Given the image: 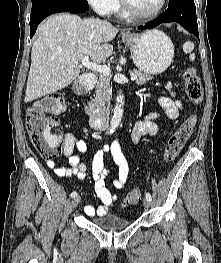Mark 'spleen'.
I'll list each match as a JSON object with an SVG mask.
<instances>
[{
    "label": "spleen",
    "instance_id": "spleen-1",
    "mask_svg": "<svg viewBox=\"0 0 221 263\" xmlns=\"http://www.w3.org/2000/svg\"><path fill=\"white\" fill-rule=\"evenodd\" d=\"M193 49H194V44L191 41H187L183 44V51L185 53H190L189 58L191 61L195 60V54L192 53Z\"/></svg>",
    "mask_w": 221,
    "mask_h": 263
}]
</instances>
